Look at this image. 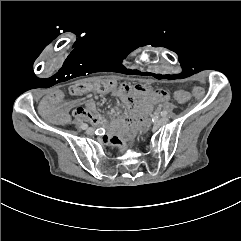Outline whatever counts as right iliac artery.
<instances>
[{"label":"right iliac artery","mask_w":241,"mask_h":241,"mask_svg":"<svg viewBox=\"0 0 241 241\" xmlns=\"http://www.w3.org/2000/svg\"><path fill=\"white\" fill-rule=\"evenodd\" d=\"M81 128H82V129H87V128H88V125H87V124H82V125H81Z\"/></svg>","instance_id":"1"}]
</instances>
